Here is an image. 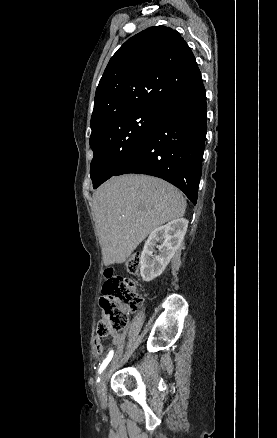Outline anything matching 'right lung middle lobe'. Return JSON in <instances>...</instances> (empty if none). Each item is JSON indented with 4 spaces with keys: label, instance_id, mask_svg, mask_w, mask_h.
Returning <instances> with one entry per match:
<instances>
[{
    "label": "right lung middle lobe",
    "instance_id": "1",
    "mask_svg": "<svg viewBox=\"0 0 277 438\" xmlns=\"http://www.w3.org/2000/svg\"><path fill=\"white\" fill-rule=\"evenodd\" d=\"M160 109L112 116L91 126L90 146L94 157L90 167L93 187L113 176L142 144Z\"/></svg>",
    "mask_w": 277,
    "mask_h": 438
}]
</instances>
